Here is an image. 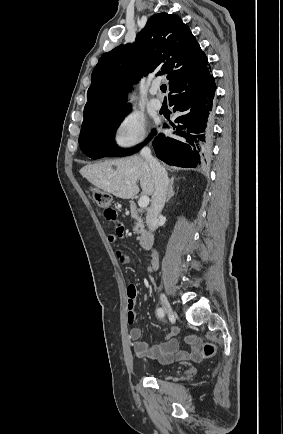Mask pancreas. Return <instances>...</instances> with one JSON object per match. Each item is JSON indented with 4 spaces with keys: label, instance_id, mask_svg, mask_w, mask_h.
I'll return each mask as SVG.
<instances>
[{
    "label": "pancreas",
    "instance_id": "1",
    "mask_svg": "<svg viewBox=\"0 0 283 434\" xmlns=\"http://www.w3.org/2000/svg\"><path fill=\"white\" fill-rule=\"evenodd\" d=\"M137 211L138 210L134 206L131 207V213H132V215H135ZM133 231H134V233H137V234L140 233V234L143 235L145 233L144 223L142 221H137L135 223Z\"/></svg>",
    "mask_w": 283,
    "mask_h": 434
}]
</instances>
